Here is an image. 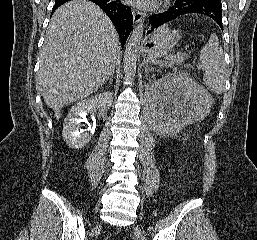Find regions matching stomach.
<instances>
[{
    "mask_svg": "<svg viewBox=\"0 0 257 240\" xmlns=\"http://www.w3.org/2000/svg\"><path fill=\"white\" fill-rule=\"evenodd\" d=\"M180 38L178 30L157 29L151 39L145 43L144 49L150 58H157L166 53L177 43Z\"/></svg>",
    "mask_w": 257,
    "mask_h": 240,
    "instance_id": "0dacf381",
    "label": "stomach"
}]
</instances>
